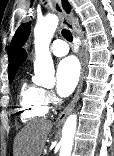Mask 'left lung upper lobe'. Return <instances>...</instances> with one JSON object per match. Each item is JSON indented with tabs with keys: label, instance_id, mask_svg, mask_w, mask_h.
Listing matches in <instances>:
<instances>
[{
	"label": "left lung upper lobe",
	"instance_id": "obj_1",
	"mask_svg": "<svg viewBox=\"0 0 114 156\" xmlns=\"http://www.w3.org/2000/svg\"><path fill=\"white\" fill-rule=\"evenodd\" d=\"M29 33H30V23L21 24L19 26L9 47L8 53L9 61H11L13 54L16 52V50L24 45L29 36Z\"/></svg>",
	"mask_w": 114,
	"mask_h": 156
}]
</instances>
